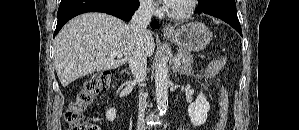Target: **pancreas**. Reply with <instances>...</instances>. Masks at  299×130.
Instances as JSON below:
<instances>
[{"mask_svg":"<svg viewBox=\"0 0 299 130\" xmlns=\"http://www.w3.org/2000/svg\"><path fill=\"white\" fill-rule=\"evenodd\" d=\"M177 55L181 59L180 69H182L184 72H191L193 56L190 54V52L179 49Z\"/></svg>","mask_w":299,"mask_h":130,"instance_id":"1","label":"pancreas"}]
</instances>
